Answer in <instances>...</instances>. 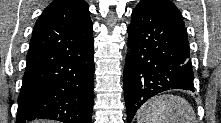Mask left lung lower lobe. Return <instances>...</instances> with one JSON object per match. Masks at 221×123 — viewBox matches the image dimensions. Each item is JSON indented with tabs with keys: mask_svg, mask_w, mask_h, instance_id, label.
Wrapping results in <instances>:
<instances>
[{
	"mask_svg": "<svg viewBox=\"0 0 221 123\" xmlns=\"http://www.w3.org/2000/svg\"><path fill=\"white\" fill-rule=\"evenodd\" d=\"M131 51L124 68L128 123L152 96L170 89L194 91L185 26L140 1L128 26Z\"/></svg>",
	"mask_w": 221,
	"mask_h": 123,
	"instance_id": "0a47b994",
	"label": "left lung lower lobe"
}]
</instances>
